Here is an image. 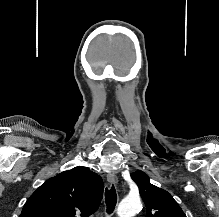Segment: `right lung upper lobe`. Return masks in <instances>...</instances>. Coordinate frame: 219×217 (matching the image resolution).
Returning <instances> with one entry per match:
<instances>
[{"label":"right lung upper lobe","mask_w":219,"mask_h":217,"mask_svg":"<svg viewBox=\"0 0 219 217\" xmlns=\"http://www.w3.org/2000/svg\"><path fill=\"white\" fill-rule=\"evenodd\" d=\"M104 184L85 167L45 181L27 200L19 217H88L98 209Z\"/></svg>","instance_id":"right-lung-upper-lobe-1"}]
</instances>
